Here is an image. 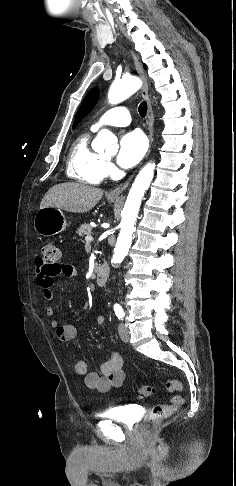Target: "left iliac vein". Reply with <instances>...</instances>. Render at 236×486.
<instances>
[{
    "label": "left iliac vein",
    "instance_id": "obj_1",
    "mask_svg": "<svg viewBox=\"0 0 236 486\" xmlns=\"http://www.w3.org/2000/svg\"><path fill=\"white\" fill-rule=\"evenodd\" d=\"M118 333H119V336H120V338L123 342L126 343V342L129 341L130 332H129V329L123 323H120L118 325Z\"/></svg>",
    "mask_w": 236,
    "mask_h": 486
}]
</instances>
